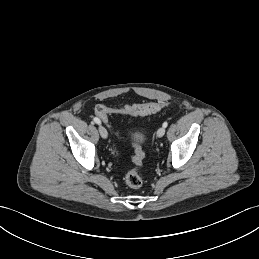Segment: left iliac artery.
Listing matches in <instances>:
<instances>
[{
    "instance_id": "1",
    "label": "left iliac artery",
    "mask_w": 259,
    "mask_h": 259,
    "mask_svg": "<svg viewBox=\"0 0 259 259\" xmlns=\"http://www.w3.org/2000/svg\"><path fill=\"white\" fill-rule=\"evenodd\" d=\"M168 126V123L167 122H164L163 123V127L166 128Z\"/></svg>"
}]
</instances>
